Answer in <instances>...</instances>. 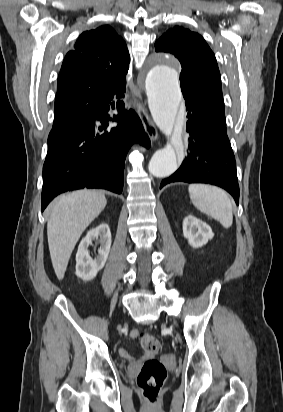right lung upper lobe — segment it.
Instances as JSON below:
<instances>
[{
    "instance_id": "1",
    "label": "right lung upper lobe",
    "mask_w": 283,
    "mask_h": 412,
    "mask_svg": "<svg viewBox=\"0 0 283 412\" xmlns=\"http://www.w3.org/2000/svg\"><path fill=\"white\" fill-rule=\"evenodd\" d=\"M130 56L125 41L109 26L82 33L58 77L55 116L88 102L101 90L122 91Z\"/></svg>"
}]
</instances>
